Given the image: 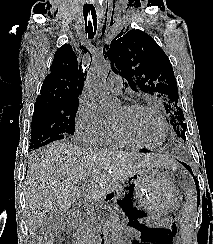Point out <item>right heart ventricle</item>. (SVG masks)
<instances>
[{
  "mask_svg": "<svg viewBox=\"0 0 213 244\" xmlns=\"http://www.w3.org/2000/svg\"><path fill=\"white\" fill-rule=\"evenodd\" d=\"M102 145L109 147L111 149H120V148H124L127 147L126 144L122 143L114 134L112 125L110 124V127L107 131V134L103 140V142L101 143Z\"/></svg>",
  "mask_w": 213,
  "mask_h": 244,
  "instance_id": "obj_1",
  "label": "right heart ventricle"
}]
</instances>
